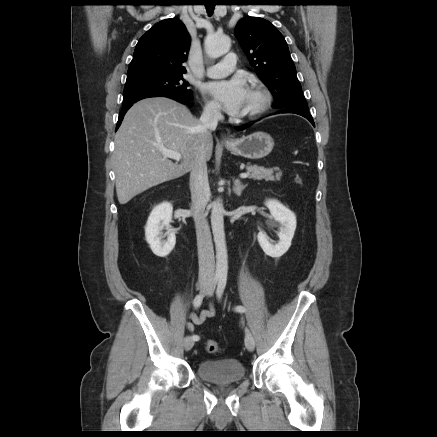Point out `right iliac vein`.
Wrapping results in <instances>:
<instances>
[{
    "instance_id": "obj_1",
    "label": "right iliac vein",
    "mask_w": 437,
    "mask_h": 437,
    "mask_svg": "<svg viewBox=\"0 0 437 437\" xmlns=\"http://www.w3.org/2000/svg\"><path fill=\"white\" fill-rule=\"evenodd\" d=\"M207 289H208V284H207V283H202V284H200V290H201V292H205ZM193 345H194V340H193V338H192L191 336H187V337L184 339V348H185V350H186V351L191 350V348L193 347Z\"/></svg>"
}]
</instances>
